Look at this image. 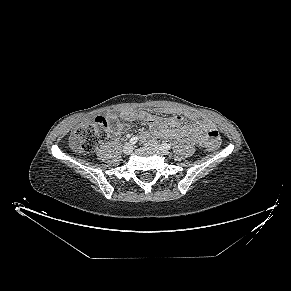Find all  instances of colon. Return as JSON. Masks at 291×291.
Wrapping results in <instances>:
<instances>
[{
    "label": "colon",
    "mask_w": 291,
    "mask_h": 291,
    "mask_svg": "<svg viewBox=\"0 0 291 291\" xmlns=\"http://www.w3.org/2000/svg\"><path fill=\"white\" fill-rule=\"evenodd\" d=\"M110 120L109 116H98L93 119L86 118L81 120L72 133L70 138L71 145L82 152H92L99 142L107 138ZM205 145L207 149L212 151L218 149L220 146L218 132L212 133Z\"/></svg>",
    "instance_id": "1"
}]
</instances>
